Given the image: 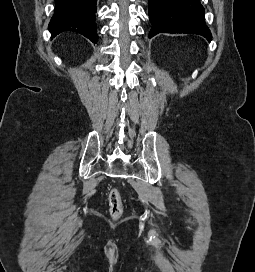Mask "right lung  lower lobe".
Masks as SVG:
<instances>
[{
	"label": "right lung lower lobe",
	"instance_id": "1",
	"mask_svg": "<svg viewBox=\"0 0 255 272\" xmlns=\"http://www.w3.org/2000/svg\"><path fill=\"white\" fill-rule=\"evenodd\" d=\"M95 12L96 0H55L49 31L53 37L64 31L77 32L96 43Z\"/></svg>",
	"mask_w": 255,
	"mask_h": 272
}]
</instances>
